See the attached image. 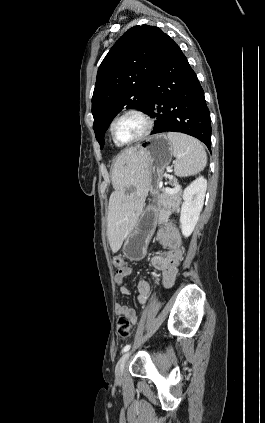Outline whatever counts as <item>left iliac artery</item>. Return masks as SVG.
Masks as SVG:
<instances>
[{
    "mask_svg": "<svg viewBox=\"0 0 265 423\" xmlns=\"http://www.w3.org/2000/svg\"><path fill=\"white\" fill-rule=\"evenodd\" d=\"M131 345L128 344L123 348V352H127L130 349Z\"/></svg>",
    "mask_w": 265,
    "mask_h": 423,
    "instance_id": "1",
    "label": "left iliac artery"
}]
</instances>
